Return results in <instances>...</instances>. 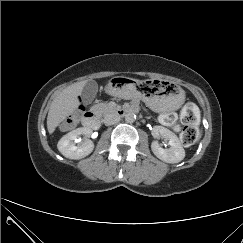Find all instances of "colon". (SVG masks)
<instances>
[{"mask_svg": "<svg viewBox=\"0 0 243 243\" xmlns=\"http://www.w3.org/2000/svg\"><path fill=\"white\" fill-rule=\"evenodd\" d=\"M176 115L174 113H164L161 115V121L168 126H175L180 131V140L183 145H192L198 135L197 125L199 122V110L193 103H187L181 110L180 121L182 126L176 125ZM76 122V115H70L63 123L65 129L71 128Z\"/></svg>", "mask_w": 243, "mask_h": 243, "instance_id": "5ec220e1", "label": "colon"}]
</instances>
